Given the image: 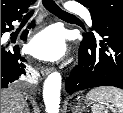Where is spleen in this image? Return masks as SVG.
<instances>
[{
	"label": "spleen",
	"mask_w": 123,
	"mask_h": 113,
	"mask_svg": "<svg viewBox=\"0 0 123 113\" xmlns=\"http://www.w3.org/2000/svg\"><path fill=\"white\" fill-rule=\"evenodd\" d=\"M86 99L93 103L91 107L92 113H105L104 104L112 103L115 105L119 113H123V90L115 87H98L92 89Z\"/></svg>",
	"instance_id": "1"
}]
</instances>
